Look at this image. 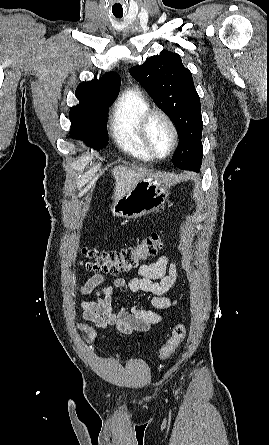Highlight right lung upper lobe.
Listing matches in <instances>:
<instances>
[{
	"label": "right lung upper lobe",
	"mask_w": 269,
	"mask_h": 445,
	"mask_svg": "<svg viewBox=\"0 0 269 445\" xmlns=\"http://www.w3.org/2000/svg\"><path fill=\"white\" fill-rule=\"evenodd\" d=\"M120 76L115 72H108L99 80L93 79L80 83L75 95L80 103L71 110L85 109L93 105L111 104L118 95Z\"/></svg>",
	"instance_id": "obj_1"
}]
</instances>
